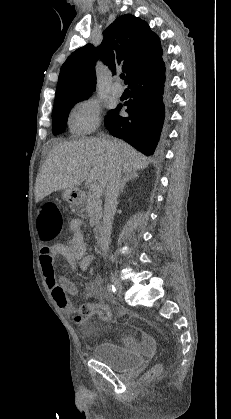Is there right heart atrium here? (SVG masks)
I'll list each match as a JSON object with an SVG mask.
<instances>
[{
  "label": "right heart atrium",
  "mask_w": 231,
  "mask_h": 419,
  "mask_svg": "<svg viewBox=\"0 0 231 419\" xmlns=\"http://www.w3.org/2000/svg\"><path fill=\"white\" fill-rule=\"evenodd\" d=\"M101 105L94 97H85L76 102L71 110L69 124L73 132L86 135L99 125Z\"/></svg>",
  "instance_id": "1"
}]
</instances>
